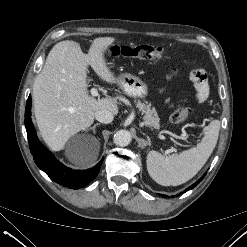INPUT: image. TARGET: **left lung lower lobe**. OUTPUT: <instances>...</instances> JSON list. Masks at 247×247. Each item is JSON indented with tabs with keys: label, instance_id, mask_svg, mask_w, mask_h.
Instances as JSON below:
<instances>
[{
	"label": "left lung lower lobe",
	"instance_id": "obj_1",
	"mask_svg": "<svg viewBox=\"0 0 247 247\" xmlns=\"http://www.w3.org/2000/svg\"><path fill=\"white\" fill-rule=\"evenodd\" d=\"M205 176V175H204ZM204 176L202 177V178H200L197 182H195L193 185H191L190 187H188V189L187 190H190V189H192V188H194L195 186H197L201 181H202V179L204 178ZM162 197H168V196H166V195H161Z\"/></svg>",
	"mask_w": 247,
	"mask_h": 247
}]
</instances>
